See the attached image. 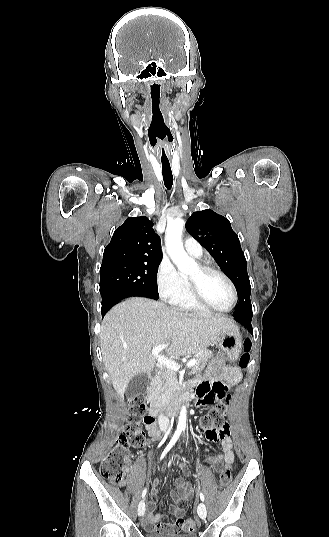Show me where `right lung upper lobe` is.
<instances>
[{
    "label": "right lung upper lobe",
    "mask_w": 329,
    "mask_h": 537,
    "mask_svg": "<svg viewBox=\"0 0 329 537\" xmlns=\"http://www.w3.org/2000/svg\"><path fill=\"white\" fill-rule=\"evenodd\" d=\"M152 226L145 216L127 218L106 246L102 265L161 259V240Z\"/></svg>",
    "instance_id": "1"
}]
</instances>
